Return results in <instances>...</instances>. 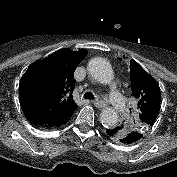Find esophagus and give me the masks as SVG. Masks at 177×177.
<instances>
[{"label":"esophagus","instance_id":"esophagus-1","mask_svg":"<svg viewBox=\"0 0 177 177\" xmlns=\"http://www.w3.org/2000/svg\"><path fill=\"white\" fill-rule=\"evenodd\" d=\"M92 103L97 108H104L106 106V102H104L103 100H93Z\"/></svg>","mask_w":177,"mask_h":177}]
</instances>
